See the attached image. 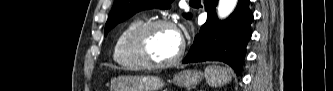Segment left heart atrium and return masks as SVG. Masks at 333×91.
Wrapping results in <instances>:
<instances>
[{
    "instance_id": "1",
    "label": "left heart atrium",
    "mask_w": 333,
    "mask_h": 91,
    "mask_svg": "<svg viewBox=\"0 0 333 91\" xmlns=\"http://www.w3.org/2000/svg\"><path fill=\"white\" fill-rule=\"evenodd\" d=\"M176 32H177V34H178L179 39L181 40V39H182V34H181V32H179V31H176Z\"/></svg>"
}]
</instances>
